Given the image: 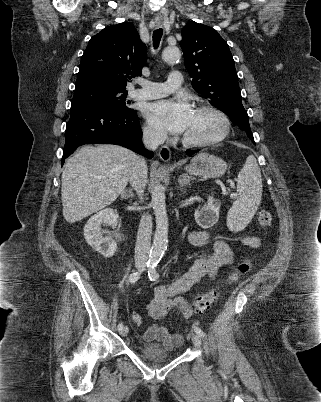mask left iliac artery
I'll return each instance as SVG.
<instances>
[{"label": "left iliac artery", "instance_id": "obj_1", "mask_svg": "<svg viewBox=\"0 0 321 402\" xmlns=\"http://www.w3.org/2000/svg\"><path fill=\"white\" fill-rule=\"evenodd\" d=\"M148 276H149V279H150L151 281H155V280H157V279L159 278V274H158V272L156 271V265L150 266L149 271H148ZM193 328H194V331H195L200 337H202V338L205 337V333L201 330V328H199L198 326H193Z\"/></svg>", "mask_w": 321, "mask_h": 402}]
</instances>
